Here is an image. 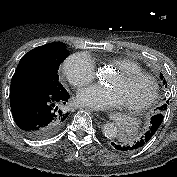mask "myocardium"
Listing matches in <instances>:
<instances>
[{
    "instance_id": "1",
    "label": "myocardium",
    "mask_w": 177,
    "mask_h": 177,
    "mask_svg": "<svg viewBox=\"0 0 177 177\" xmlns=\"http://www.w3.org/2000/svg\"><path fill=\"white\" fill-rule=\"evenodd\" d=\"M119 76L124 80L144 79L151 85L149 95L142 101L136 104L124 105L126 109L131 111H139L150 106L157 98L159 92V84L157 80L150 74L145 72H120Z\"/></svg>"
}]
</instances>
